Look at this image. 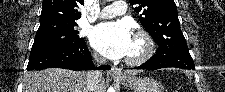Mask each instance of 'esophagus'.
I'll list each match as a JSON object with an SVG mask.
<instances>
[{
  "instance_id": "1",
  "label": "esophagus",
  "mask_w": 225,
  "mask_h": 92,
  "mask_svg": "<svg viewBox=\"0 0 225 92\" xmlns=\"http://www.w3.org/2000/svg\"><path fill=\"white\" fill-rule=\"evenodd\" d=\"M110 74L111 75H115V76H121V75H123L121 69L118 68L117 66H112L111 67Z\"/></svg>"
}]
</instances>
